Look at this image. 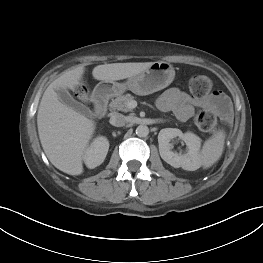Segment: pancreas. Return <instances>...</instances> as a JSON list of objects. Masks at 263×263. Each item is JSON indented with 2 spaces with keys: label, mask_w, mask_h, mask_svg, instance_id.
Wrapping results in <instances>:
<instances>
[{
  "label": "pancreas",
  "mask_w": 263,
  "mask_h": 263,
  "mask_svg": "<svg viewBox=\"0 0 263 263\" xmlns=\"http://www.w3.org/2000/svg\"><path fill=\"white\" fill-rule=\"evenodd\" d=\"M134 97L127 93L125 95H120L113 99L109 106L112 110H118V111H123V112H128L131 111V108L128 107V103L132 101Z\"/></svg>",
  "instance_id": "obj_1"
}]
</instances>
